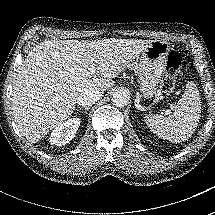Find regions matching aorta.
<instances>
[{
    "instance_id": "aorta-1",
    "label": "aorta",
    "mask_w": 215,
    "mask_h": 215,
    "mask_svg": "<svg viewBox=\"0 0 215 215\" xmlns=\"http://www.w3.org/2000/svg\"><path fill=\"white\" fill-rule=\"evenodd\" d=\"M130 96L126 91H117L112 96V103L116 107H124L128 105Z\"/></svg>"
}]
</instances>
